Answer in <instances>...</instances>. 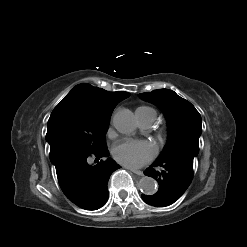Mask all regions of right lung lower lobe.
<instances>
[{
  "mask_svg": "<svg viewBox=\"0 0 247 247\" xmlns=\"http://www.w3.org/2000/svg\"><path fill=\"white\" fill-rule=\"evenodd\" d=\"M109 156L106 149L88 153L66 145L50 146V160L56 167L59 185L64 194L85 210H97L108 199L110 175L120 168L111 158L90 165L89 159Z\"/></svg>",
  "mask_w": 247,
  "mask_h": 247,
  "instance_id": "1",
  "label": "right lung lower lobe"
}]
</instances>
